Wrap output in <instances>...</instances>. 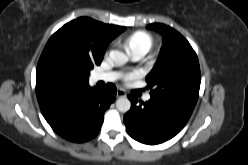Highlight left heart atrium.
Instances as JSON below:
<instances>
[{"label":"left heart atrium","mask_w":248,"mask_h":165,"mask_svg":"<svg viewBox=\"0 0 248 165\" xmlns=\"http://www.w3.org/2000/svg\"><path fill=\"white\" fill-rule=\"evenodd\" d=\"M137 77H138V74L135 72H132V73H128V74L124 75L123 80L126 83H129V82L135 80Z\"/></svg>","instance_id":"obj_1"}]
</instances>
